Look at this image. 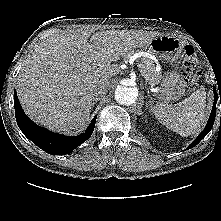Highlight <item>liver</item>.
Returning <instances> with one entry per match:
<instances>
[{
	"mask_svg": "<svg viewBox=\"0 0 221 221\" xmlns=\"http://www.w3.org/2000/svg\"><path fill=\"white\" fill-rule=\"evenodd\" d=\"M90 35L87 30L55 34L24 61L17 94L36 123L59 132L81 127L91 112L94 91L101 86L108 89L110 79L119 74L121 57L158 36L142 30Z\"/></svg>",
	"mask_w": 221,
	"mask_h": 221,
	"instance_id": "liver-1",
	"label": "liver"
}]
</instances>
